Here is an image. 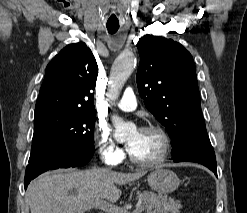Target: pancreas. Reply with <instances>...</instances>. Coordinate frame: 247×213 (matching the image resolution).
Returning <instances> with one entry per match:
<instances>
[{"mask_svg":"<svg viewBox=\"0 0 247 213\" xmlns=\"http://www.w3.org/2000/svg\"><path fill=\"white\" fill-rule=\"evenodd\" d=\"M138 203L146 210H154V213H179L182 205L180 201L154 192H137Z\"/></svg>","mask_w":247,"mask_h":213,"instance_id":"cf45deb5","label":"pancreas"}]
</instances>
